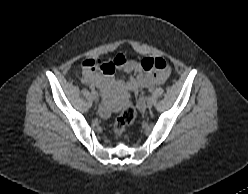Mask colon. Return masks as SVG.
<instances>
[{
	"instance_id": "5ec220e1",
	"label": "colon",
	"mask_w": 248,
	"mask_h": 194,
	"mask_svg": "<svg viewBox=\"0 0 248 194\" xmlns=\"http://www.w3.org/2000/svg\"><path fill=\"white\" fill-rule=\"evenodd\" d=\"M166 66V61L161 58H149L143 64L145 70L156 71H163L165 70ZM135 117V107L132 103L131 97L127 96L119 116L115 119L113 123V133L116 136H122L126 131V128L135 120Z\"/></svg>"
}]
</instances>
